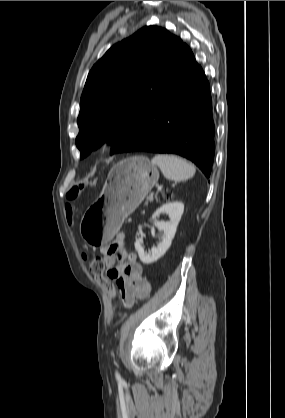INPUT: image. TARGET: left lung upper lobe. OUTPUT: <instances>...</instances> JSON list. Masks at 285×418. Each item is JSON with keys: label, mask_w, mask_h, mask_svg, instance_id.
<instances>
[{"label": "left lung upper lobe", "mask_w": 285, "mask_h": 418, "mask_svg": "<svg viewBox=\"0 0 285 418\" xmlns=\"http://www.w3.org/2000/svg\"><path fill=\"white\" fill-rule=\"evenodd\" d=\"M185 43L146 26L113 45L92 67L80 100L76 146L81 158L108 141L111 154L136 140L176 69Z\"/></svg>", "instance_id": "1"}]
</instances>
